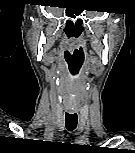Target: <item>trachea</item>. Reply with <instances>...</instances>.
I'll return each mask as SVG.
<instances>
[{"instance_id":"obj_1","label":"trachea","mask_w":135,"mask_h":153,"mask_svg":"<svg viewBox=\"0 0 135 153\" xmlns=\"http://www.w3.org/2000/svg\"><path fill=\"white\" fill-rule=\"evenodd\" d=\"M65 120H66V128L69 131H73L77 126V115H76V113H74V114L66 113Z\"/></svg>"}]
</instances>
